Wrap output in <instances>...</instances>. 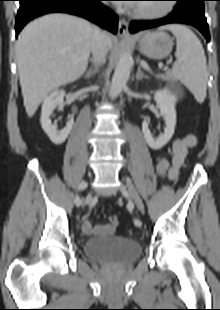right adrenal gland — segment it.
<instances>
[{
	"mask_svg": "<svg viewBox=\"0 0 220 310\" xmlns=\"http://www.w3.org/2000/svg\"><path fill=\"white\" fill-rule=\"evenodd\" d=\"M97 70H98V67H97V65L95 64V65H94V69H89V70L85 73L84 78H85V79H89L90 77H92V76L94 75V73L97 72Z\"/></svg>",
	"mask_w": 220,
	"mask_h": 310,
	"instance_id": "right-adrenal-gland-1",
	"label": "right adrenal gland"
}]
</instances>
